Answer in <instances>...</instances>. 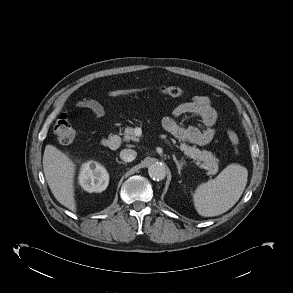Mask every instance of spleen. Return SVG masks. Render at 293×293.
Returning <instances> with one entry per match:
<instances>
[{
  "label": "spleen",
  "mask_w": 293,
  "mask_h": 293,
  "mask_svg": "<svg viewBox=\"0 0 293 293\" xmlns=\"http://www.w3.org/2000/svg\"><path fill=\"white\" fill-rule=\"evenodd\" d=\"M248 171L239 164H230L219 175L200 184L193 201L197 212L204 217L218 216L232 208L242 196Z\"/></svg>",
  "instance_id": "3e777b00"
}]
</instances>
